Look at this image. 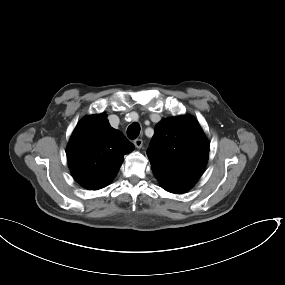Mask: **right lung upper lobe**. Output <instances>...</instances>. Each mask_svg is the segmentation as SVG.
I'll return each instance as SVG.
<instances>
[{
    "mask_svg": "<svg viewBox=\"0 0 285 285\" xmlns=\"http://www.w3.org/2000/svg\"><path fill=\"white\" fill-rule=\"evenodd\" d=\"M133 150L134 145L101 113L77 124L66 154L73 178L84 188L97 190L111 182L124 155Z\"/></svg>",
    "mask_w": 285,
    "mask_h": 285,
    "instance_id": "right-lung-upper-lobe-1",
    "label": "right lung upper lobe"
}]
</instances>
